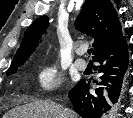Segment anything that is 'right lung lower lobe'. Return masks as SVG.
Listing matches in <instances>:
<instances>
[{"label": "right lung lower lobe", "instance_id": "98d812e1", "mask_svg": "<svg viewBox=\"0 0 133 118\" xmlns=\"http://www.w3.org/2000/svg\"><path fill=\"white\" fill-rule=\"evenodd\" d=\"M101 73L95 93L89 92V84L81 80L70 92L69 98L77 113L83 118H106L120 101L128 74V50L125 37L100 51L94 58Z\"/></svg>", "mask_w": 133, "mask_h": 118}]
</instances>
